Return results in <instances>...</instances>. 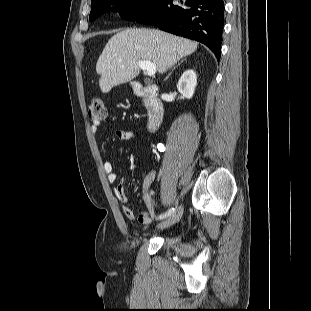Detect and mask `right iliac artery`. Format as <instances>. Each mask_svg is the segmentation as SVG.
Instances as JSON below:
<instances>
[{"mask_svg": "<svg viewBox=\"0 0 311 311\" xmlns=\"http://www.w3.org/2000/svg\"><path fill=\"white\" fill-rule=\"evenodd\" d=\"M158 148H159V147H158ZM174 212H175V208H171V209L168 210L167 212L160 214V215L158 216V219H160V220H161V219H165V218L171 216Z\"/></svg>", "mask_w": 311, "mask_h": 311, "instance_id": "82829eb1", "label": "right iliac artery"}]
</instances>
